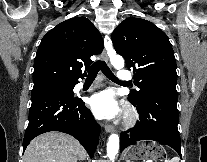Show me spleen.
I'll use <instances>...</instances> for the list:
<instances>
[{"label":"spleen","instance_id":"spleen-1","mask_svg":"<svg viewBox=\"0 0 207 162\" xmlns=\"http://www.w3.org/2000/svg\"><path fill=\"white\" fill-rule=\"evenodd\" d=\"M165 162H179V158L178 157H173L171 160H167Z\"/></svg>","mask_w":207,"mask_h":162}]
</instances>
